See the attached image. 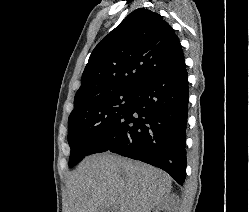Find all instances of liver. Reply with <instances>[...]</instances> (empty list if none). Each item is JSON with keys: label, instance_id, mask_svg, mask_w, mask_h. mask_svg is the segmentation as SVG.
Returning a JSON list of instances; mask_svg holds the SVG:
<instances>
[{"label": "liver", "instance_id": "1", "mask_svg": "<svg viewBox=\"0 0 249 212\" xmlns=\"http://www.w3.org/2000/svg\"><path fill=\"white\" fill-rule=\"evenodd\" d=\"M66 212H150L166 202L170 176L117 154L87 156L67 180Z\"/></svg>", "mask_w": 249, "mask_h": 212}]
</instances>
